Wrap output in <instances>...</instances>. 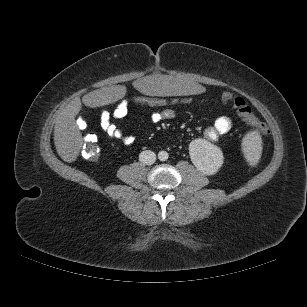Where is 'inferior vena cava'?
Instances as JSON below:
<instances>
[{
  "mask_svg": "<svg viewBox=\"0 0 307 307\" xmlns=\"http://www.w3.org/2000/svg\"><path fill=\"white\" fill-rule=\"evenodd\" d=\"M139 161L142 164L152 165L156 161V154L153 151L145 150L139 154Z\"/></svg>",
  "mask_w": 307,
  "mask_h": 307,
  "instance_id": "obj_1",
  "label": "inferior vena cava"
}]
</instances>
